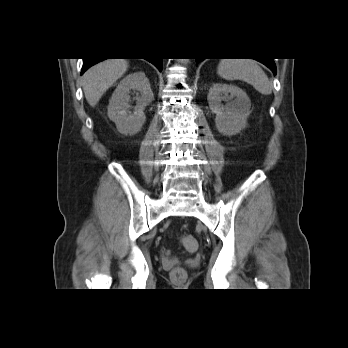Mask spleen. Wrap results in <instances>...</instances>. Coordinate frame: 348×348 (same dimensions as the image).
I'll return each instance as SVG.
<instances>
[{
	"instance_id": "obj_1",
	"label": "spleen",
	"mask_w": 348,
	"mask_h": 348,
	"mask_svg": "<svg viewBox=\"0 0 348 348\" xmlns=\"http://www.w3.org/2000/svg\"><path fill=\"white\" fill-rule=\"evenodd\" d=\"M217 74L225 80H243L262 95L272 93V84L258 63L253 59H222Z\"/></svg>"
}]
</instances>
